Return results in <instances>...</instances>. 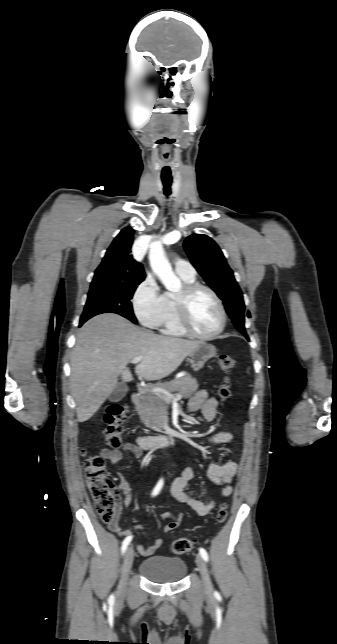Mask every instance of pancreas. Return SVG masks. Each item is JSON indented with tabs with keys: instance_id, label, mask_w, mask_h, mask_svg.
<instances>
[{
	"instance_id": "obj_1",
	"label": "pancreas",
	"mask_w": 337,
	"mask_h": 644,
	"mask_svg": "<svg viewBox=\"0 0 337 644\" xmlns=\"http://www.w3.org/2000/svg\"><path fill=\"white\" fill-rule=\"evenodd\" d=\"M155 387H160L170 393L177 392L187 399L196 392L199 385L195 378L185 374L181 378L165 383H157L140 390V401L137 404L140 419L146 427L160 431L164 424L167 399L162 394L154 393L152 389Z\"/></svg>"
}]
</instances>
